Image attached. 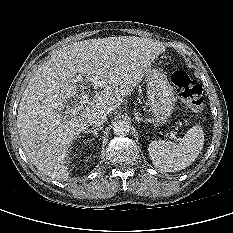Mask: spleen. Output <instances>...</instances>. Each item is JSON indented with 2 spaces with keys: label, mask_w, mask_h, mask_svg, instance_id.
Returning a JSON list of instances; mask_svg holds the SVG:
<instances>
[{
  "label": "spleen",
  "mask_w": 233,
  "mask_h": 233,
  "mask_svg": "<svg viewBox=\"0 0 233 233\" xmlns=\"http://www.w3.org/2000/svg\"><path fill=\"white\" fill-rule=\"evenodd\" d=\"M204 145V132L200 125L190 128L179 143L155 140L148 146L153 165L163 172H176L190 166Z\"/></svg>",
  "instance_id": "3e777b00"
}]
</instances>
